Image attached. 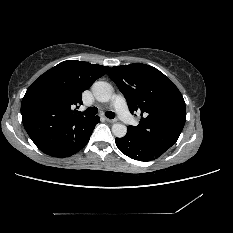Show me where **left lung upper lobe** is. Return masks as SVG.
Instances as JSON below:
<instances>
[{"instance_id": "left-lung-upper-lobe-1", "label": "left lung upper lobe", "mask_w": 233, "mask_h": 233, "mask_svg": "<svg viewBox=\"0 0 233 233\" xmlns=\"http://www.w3.org/2000/svg\"><path fill=\"white\" fill-rule=\"evenodd\" d=\"M108 75L124 94L130 112L141 116L137 126H127V134L164 151L174 145L185 124L186 107L172 81L158 69L139 63L114 66Z\"/></svg>"}]
</instances>
